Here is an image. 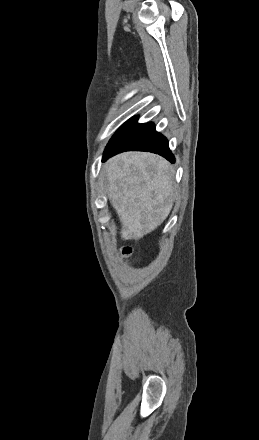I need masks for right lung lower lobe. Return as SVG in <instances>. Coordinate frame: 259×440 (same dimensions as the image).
Wrapping results in <instances>:
<instances>
[{
	"instance_id": "98d812e1",
	"label": "right lung lower lobe",
	"mask_w": 259,
	"mask_h": 440,
	"mask_svg": "<svg viewBox=\"0 0 259 440\" xmlns=\"http://www.w3.org/2000/svg\"><path fill=\"white\" fill-rule=\"evenodd\" d=\"M137 120L138 117L129 119L113 135L104 151L103 161L120 152L136 150L159 154L174 163L168 141L155 130L154 123L138 124Z\"/></svg>"
}]
</instances>
